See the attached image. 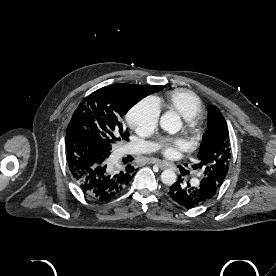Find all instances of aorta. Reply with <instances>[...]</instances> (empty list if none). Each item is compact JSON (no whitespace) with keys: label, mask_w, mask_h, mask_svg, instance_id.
Instances as JSON below:
<instances>
[{"label":"aorta","mask_w":276,"mask_h":276,"mask_svg":"<svg viewBox=\"0 0 276 276\" xmlns=\"http://www.w3.org/2000/svg\"><path fill=\"white\" fill-rule=\"evenodd\" d=\"M160 127L170 134L177 133L182 127L180 116L174 111L165 112L160 118ZM177 180L174 171L167 169L161 173V181L167 186L173 185Z\"/></svg>","instance_id":"762f6f07"}]
</instances>
